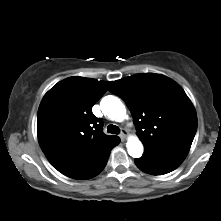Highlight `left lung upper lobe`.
<instances>
[{
    "mask_svg": "<svg viewBox=\"0 0 221 221\" xmlns=\"http://www.w3.org/2000/svg\"><path fill=\"white\" fill-rule=\"evenodd\" d=\"M109 91L125 101L145 150L190 149L197 116L175 81L160 74L142 73L116 80Z\"/></svg>",
    "mask_w": 221,
    "mask_h": 221,
    "instance_id": "1",
    "label": "left lung upper lobe"
}]
</instances>
